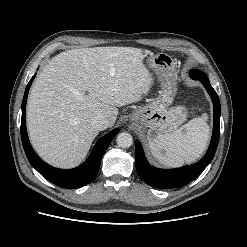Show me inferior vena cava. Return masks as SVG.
Masks as SVG:
<instances>
[{
  "label": "inferior vena cava",
  "mask_w": 247,
  "mask_h": 247,
  "mask_svg": "<svg viewBox=\"0 0 247 247\" xmlns=\"http://www.w3.org/2000/svg\"><path fill=\"white\" fill-rule=\"evenodd\" d=\"M108 120L105 116L99 114L96 115L93 119H92V126L93 128L97 129V130H105L106 128H108L109 124H108Z\"/></svg>",
  "instance_id": "inferior-vena-cava-1"
}]
</instances>
